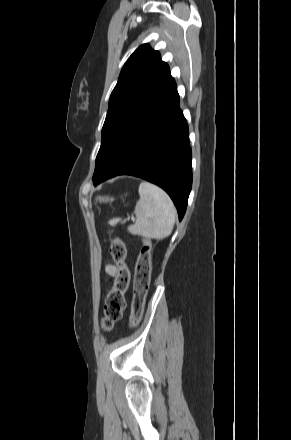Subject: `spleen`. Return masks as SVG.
<instances>
[{
  "instance_id": "obj_1",
  "label": "spleen",
  "mask_w": 291,
  "mask_h": 440,
  "mask_svg": "<svg viewBox=\"0 0 291 440\" xmlns=\"http://www.w3.org/2000/svg\"><path fill=\"white\" fill-rule=\"evenodd\" d=\"M140 199L135 206L136 220L128 227L134 235L151 239L168 237L174 227L176 218L175 206L168 194L160 187L143 181L139 185ZM120 218L111 219L109 224L116 225Z\"/></svg>"
}]
</instances>
